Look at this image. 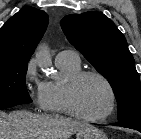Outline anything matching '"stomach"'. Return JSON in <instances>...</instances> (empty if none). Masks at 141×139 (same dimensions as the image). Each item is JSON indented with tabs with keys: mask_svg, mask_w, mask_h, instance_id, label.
Listing matches in <instances>:
<instances>
[{
	"mask_svg": "<svg viewBox=\"0 0 141 139\" xmlns=\"http://www.w3.org/2000/svg\"><path fill=\"white\" fill-rule=\"evenodd\" d=\"M76 139H108V138L102 130L89 125L78 130L76 134Z\"/></svg>",
	"mask_w": 141,
	"mask_h": 139,
	"instance_id": "obj_1",
	"label": "stomach"
}]
</instances>
